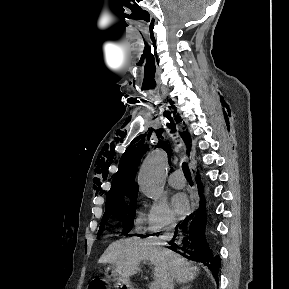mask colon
Segmentation results:
<instances>
[{
    "label": "colon",
    "mask_w": 289,
    "mask_h": 289,
    "mask_svg": "<svg viewBox=\"0 0 289 289\" xmlns=\"http://www.w3.org/2000/svg\"><path fill=\"white\" fill-rule=\"evenodd\" d=\"M88 289H109V287L103 280L94 279L90 282Z\"/></svg>",
    "instance_id": "obj_1"
}]
</instances>
